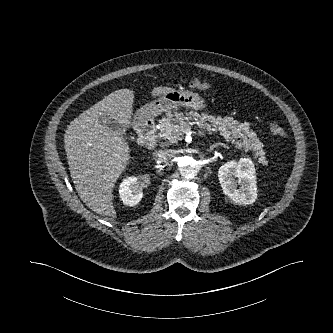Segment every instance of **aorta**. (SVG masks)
Here are the masks:
<instances>
[{
  "mask_svg": "<svg viewBox=\"0 0 333 333\" xmlns=\"http://www.w3.org/2000/svg\"><path fill=\"white\" fill-rule=\"evenodd\" d=\"M177 169L180 175L185 179H193L197 176V161L189 155H180L177 160Z\"/></svg>",
  "mask_w": 333,
  "mask_h": 333,
  "instance_id": "obj_1",
  "label": "aorta"
}]
</instances>
